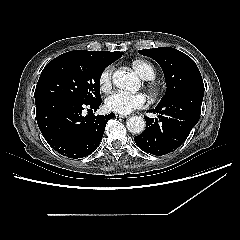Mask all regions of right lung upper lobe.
<instances>
[{"label": "right lung upper lobe", "instance_id": "cb5924a9", "mask_svg": "<svg viewBox=\"0 0 240 240\" xmlns=\"http://www.w3.org/2000/svg\"><path fill=\"white\" fill-rule=\"evenodd\" d=\"M97 53L108 59L114 60V61L117 60L118 58H120L123 54L122 52H118V51L117 52L98 51Z\"/></svg>", "mask_w": 240, "mask_h": 240}]
</instances>
